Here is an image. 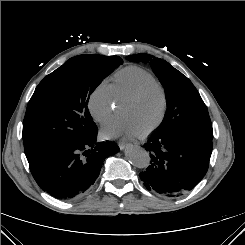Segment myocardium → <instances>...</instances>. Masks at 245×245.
I'll return each instance as SVG.
<instances>
[{
	"label": "myocardium",
	"instance_id": "f54148a6",
	"mask_svg": "<svg viewBox=\"0 0 245 245\" xmlns=\"http://www.w3.org/2000/svg\"><path fill=\"white\" fill-rule=\"evenodd\" d=\"M150 87H155L160 91L162 96V108L158 119L154 122L153 125H151L148 129H146L144 132L140 134L141 137H147L148 135L156 131L163 123L167 114L169 103L166 88L159 81L155 79L150 80L138 86L134 91H132L128 96H126L122 102V104H124L138 99L145 92V90H147Z\"/></svg>",
	"mask_w": 245,
	"mask_h": 245
}]
</instances>
